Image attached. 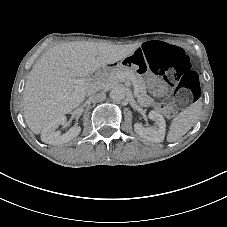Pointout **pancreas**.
Returning <instances> with one entry per match:
<instances>
[{
  "label": "pancreas",
  "mask_w": 227,
  "mask_h": 227,
  "mask_svg": "<svg viewBox=\"0 0 227 227\" xmlns=\"http://www.w3.org/2000/svg\"><path fill=\"white\" fill-rule=\"evenodd\" d=\"M124 73H127V77H131L133 76V78L135 79L136 83L138 84V94H137V100L140 103L141 106H148L149 104H151V102H153V99L147 95V91H146V82L143 79V77L130 70L127 69L125 67H116L111 69L108 73H103L101 76L98 77V79L106 86H108V82L114 81L119 79L118 75Z\"/></svg>",
  "instance_id": "1"
}]
</instances>
